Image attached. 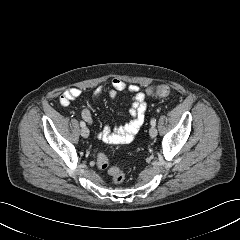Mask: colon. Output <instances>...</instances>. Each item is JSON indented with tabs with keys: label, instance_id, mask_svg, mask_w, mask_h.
<instances>
[{
	"label": "colon",
	"instance_id": "1",
	"mask_svg": "<svg viewBox=\"0 0 240 240\" xmlns=\"http://www.w3.org/2000/svg\"><path fill=\"white\" fill-rule=\"evenodd\" d=\"M170 93V87L167 85H157L148 89V94L153 97L166 98L170 95ZM97 166L103 170L108 169L114 184H121L125 180V174L120 169L109 166L108 157L104 153H100L98 155Z\"/></svg>",
	"mask_w": 240,
	"mask_h": 240
}]
</instances>
